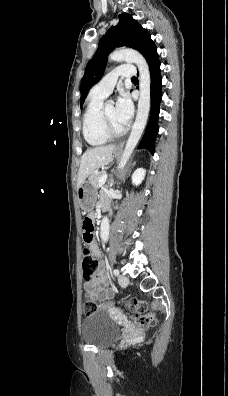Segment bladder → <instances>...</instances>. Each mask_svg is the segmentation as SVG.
<instances>
[{"label":"bladder","instance_id":"31cf9c89","mask_svg":"<svg viewBox=\"0 0 228 396\" xmlns=\"http://www.w3.org/2000/svg\"><path fill=\"white\" fill-rule=\"evenodd\" d=\"M120 336V329L104 311L88 314L81 323L82 340L95 347H106Z\"/></svg>","mask_w":228,"mask_h":396}]
</instances>
